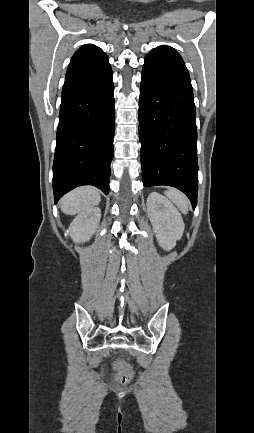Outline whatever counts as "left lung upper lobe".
Here are the masks:
<instances>
[{
	"mask_svg": "<svg viewBox=\"0 0 254 433\" xmlns=\"http://www.w3.org/2000/svg\"><path fill=\"white\" fill-rule=\"evenodd\" d=\"M150 53H161L183 61L181 56L176 52V50L170 46H159L156 49H153Z\"/></svg>",
	"mask_w": 254,
	"mask_h": 433,
	"instance_id": "1",
	"label": "left lung upper lobe"
}]
</instances>
